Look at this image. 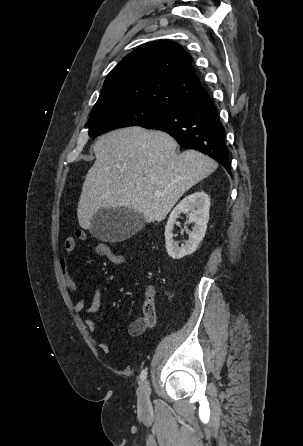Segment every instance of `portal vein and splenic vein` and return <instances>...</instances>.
I'll return each instance as SVG.
<instances>
[{
    "label": "portal vein and splenic vein",
    "instance_id": "1",
    "mask_svg": "<svg viewBox=\"0 0 303 446\" xmlns=\"http://www.w3.org/2000/svg\"><path fill=\"white\" fill-rule=\"evenodd\" d=\"M156 196H161L162 194L160 192H155L154 193Z\"/></svg>",
    "mask_w": 303,
    "mask_h": 446
}]
</instances>
